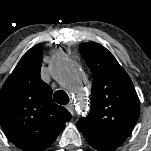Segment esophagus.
<instances>
[{
    "instance_id": "obj_1",
    "label": "esophagus",
    "mask_w": 151,
    "mask_h": 151,
    "mask_svg": "<svg viewBox=\"0 0 151 151\" xmlns=\"http://www.w3.org/2000/svg\"><path fill=\"white\" fill-rule=\"evenodd\" d=\"M66 108L68 109V111L73 115L74 114V105L73 103H69Z\"/></svg>"
}]
</instances>
